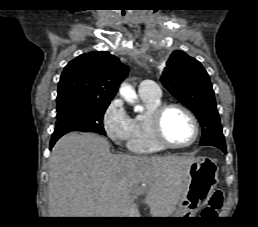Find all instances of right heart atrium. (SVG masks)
I'll return each instance as SVG.
<instances>
[{
    "label": "right heart atrium",
    "mask_w": 258,
    "mask_h": 227,
    "mask_svg": "<svg viewBox=\"0 0 258 227\" xmlns=\"http://www.w3.org/2000/svg\"><path fill=\"white\" fill-rule=\"evenodd\" d=\"M102 125L107 136L114 143L123 144L130 140L133 131L132 118L121 100L114 99L110 102L104 112Z\"/></svg>",
    "instance_id": "1"
}]
</instances>
